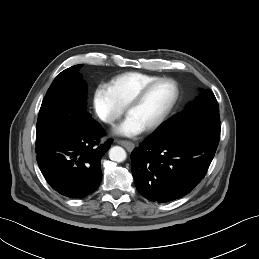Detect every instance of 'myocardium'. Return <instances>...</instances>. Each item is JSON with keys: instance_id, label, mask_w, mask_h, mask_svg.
<instances>
[{"instance_id": "myocardium-1", "label": "myocardium", "mask_w": 259, "mask_h": 259, "mask_svg": "<svg viewBox=\"0 0 259 259\" xmlns=\"http://www.w3.org/2000/svg\"><path fill=\"white\" fill-rule=\"evenodd\" d=\"M162 82H167V83H171L174 87V97L172 102L170 103V105L167 107V109L164 111V113L151 125L147 126L144 130L146 132H151L154 131L156 129H158L166 120L167 118L170 116V114L173 112V110L175 109L179 98H180V88L178 83L169 77H160L157 78L151 82H149L148 84L144 85L143 87H141L127 102L126 106L124 107L125 113L128 114V112L134 108L135 106H137L142 99L145 97V95L148 93V91L154 87L155 85L162 83Z\"/></svg>"}]
</instances>
